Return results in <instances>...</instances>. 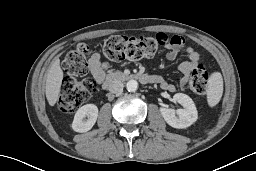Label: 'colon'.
<instances>
[{"label":"colon","instance_id":"1","mask_svg":"<svg viewBox=\"0 0 256 171\" xmlns=\"http://www.w3.org/2000/svg\"><path fill=\"white\" fill-rule=\"evenodd\" d=\"M168 43L165 34L155 36H111L105 40L102 50L113 61L124 59L139 60L154 57L159 49ZM88 46L78 43L63 60L62 68L67 76L62 81L58 109L62 113H71L83 105L94 93L95 83L85 78L88 72L86 61ZM208 72L204 65L198 64L189 79L190 89L204 94L207 88Z\"/></svg>","mask_w":256,"mask_h":171}]
</instances>
